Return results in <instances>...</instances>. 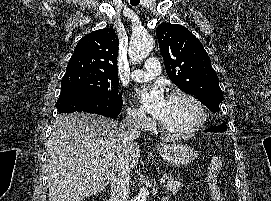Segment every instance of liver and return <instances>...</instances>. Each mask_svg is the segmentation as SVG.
Segmentation results:
<instances>
[{
	"mask_svg": "<svg viewBox=\"0 0 271 201\" xmlns=\"http://www.w3.org/2000/svg\"><path fill=\"white\" fill-rule=\"evenodd\" d=\"M119 126L116 120L94 114L56 117L45 165L49 201H82L108 186L122 160L130 169L136 167L139 146L134 140L124 143Z\"/></svg>",
	"mask_w": 271,
	"mask_h": 201,
	"instance_id": "liver-1",
	"label": "liver"
}]
</instances>
